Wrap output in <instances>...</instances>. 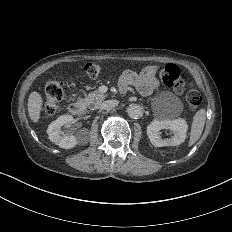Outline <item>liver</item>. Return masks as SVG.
Segmentation results:
<instances>
[{
  "mask_svg": "<svg viewBox=\"0 0 232 232\" xmlns=\"http://www.w3.org/2000/svg\"><path fill=\"white\" fill-rule=\"evenodd\" d=\"M42 109V98L38 92H32L28 98V113L33 122H38Z\"/></svg>",
  "mask_w": 232,
  "mask_h": 232,
  "instance_id": "liver-1",
  "label": "liver"
}]
</instances>
